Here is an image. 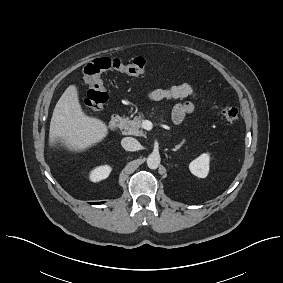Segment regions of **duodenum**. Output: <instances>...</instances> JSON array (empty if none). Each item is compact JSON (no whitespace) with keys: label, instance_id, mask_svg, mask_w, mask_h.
I'll return each instance as SVG.
<instances>
[{"label":"duodenum","instance_id":"410a0bca","mask_svg":"<svg viewBox=\"0 0 283 283\" xmlns=\"http://www.w3.org/2000/svg\"><path fill=\"white\" fill-rule=\"evenodd\" d=\"M123 125V119L120 115H114L109 123V130L111 132L118 131Z\"/></svg>","mask_w":283,"mask_h":283}]
</instances>
